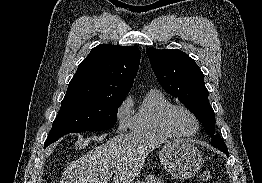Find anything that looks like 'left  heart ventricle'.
Returning a JSON list of instances; mask_svg holds the SVG:
<instances>
[{"label": "left heart ventricle", "mask_w": 262, "mask_h": 183, "mask_svg": "<svg viewBox=\"0 0 262 183\" xmlns=\"http://www.w3.org/2000/svg\"><path fill=\"white\" fill-rule=\"evenodd\" d=\"M173 125L182 133H192L196 128V122L186 111L178 109L172 115Z\"/></svg>", "instance_id": "obj_1"}]
</instances>
